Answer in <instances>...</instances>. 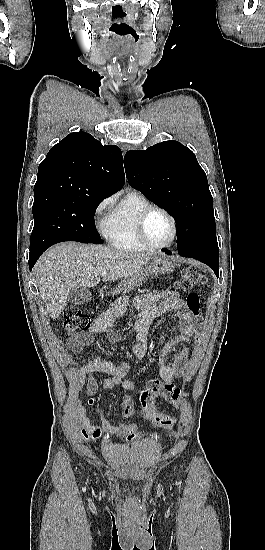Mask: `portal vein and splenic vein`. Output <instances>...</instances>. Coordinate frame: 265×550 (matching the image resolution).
<instances>
[{
  "label": "portal vein and splenic vein",
  "mask_w": 265,
  "mask_h": 550,
  "mask_svg": "<svg viewBox=\"0 0 265 550\" xmlns=\"http://www.w3.org/2000/svg\"><path fill=\"white\" fill-rule=\"evenodd\" d=\"M106 274H107L106 272H102V273H101L102 276H105Z\"/></svg>",
  "instance_id": "obj_1"
}]
</instances>
